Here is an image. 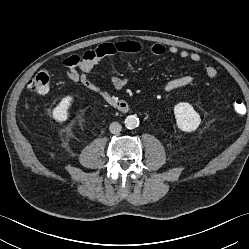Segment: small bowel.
<instances>
[{
    "label": "small bowel",
    "instance_id": "1",
    "mask_svg": "<svg viewBox=\"0 0 249 249\" xmlns=\"http://www.w3.org/2000/svg\"><path fill=\"white\" fill-rule=\"evenodd\" d=\"M144 51L143 45L135 40H120L114 42H105L95 49L87 52L84 56H71L64 60L66 68L65 74L67 78L73 82H80L86 89L100 95H105L108 91L95 84L91 79V71L93 67L101 60L116 55H139ZM150 52L156 56H162L166 53L178 55L183 59H188L196 63H201L202 58L198 53L179 49L176 46L166 47L161 43L151 45ZM205 74L209 78H214L217 71L214 67L203 64ZM112 86L116 90H122L127 84V78L118 74H112L110 77ZM195 77L192 75H184L171 79L163 86L165 93L172 92L190 86L194 83Z\"/></svg>",
    "mask_w": 249,
    "mask_h": 249
}]
</instances>
